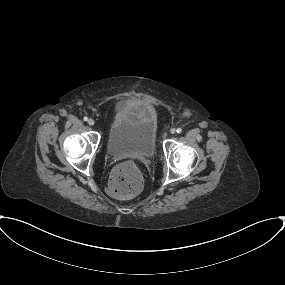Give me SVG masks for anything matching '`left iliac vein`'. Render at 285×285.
<instances>
[{
  "label": "left iliac vein",
  "instance_id": "obj_1",
  "mask_svg": "<svg viewBox=\"0 0 285 285\" xmlns=\"http://www.w3.org/2000/svg\"><path fill=\"white\" fill-rule=\"evenodd\" d=\"M170 133H171V134H175V133H176V130H175L174 128H171V129H170Z\"/></svg>",
  "mask_w": 285,
  "mask_h": 285
}]
</instances>
